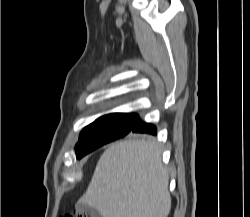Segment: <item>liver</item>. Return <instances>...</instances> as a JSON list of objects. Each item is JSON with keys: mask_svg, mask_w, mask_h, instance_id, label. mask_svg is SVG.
Segmentation results:
<instances>
[{"mask_svg": "<svg viewBox=\"0 0 250 217\" xmlns=\"http://www.w3.org/2000/svg\"><path fill=\"white\" fill-rule=\"evenodd\" d=\"M169 176L154 139L123 140L101 155L78 203L102 217H167L171 209Z\"/></svg>", "mask_w": 250, "mask_h": 217, "instance_id": "6515ba94", "label": "liver"}]
</instances>
